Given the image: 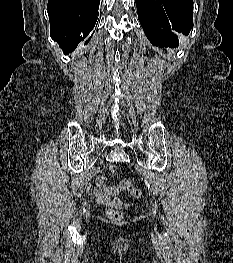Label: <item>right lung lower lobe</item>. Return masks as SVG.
<instances>
[{
	"label": "right lung lower lobe",
	"instance_id": "obj_1",
	"mask_svg": "<svg viewBox=\"0 0 233 263\" xmlns=\"http://www.w3.org/2000/svg\"><path fill=\"white\" fill-rule=\"evenodd\" d=\"M100 0H49L50 36L64 54L75 50L94 28ZM92 36V35H91Z\"/></svg>",
	"mask_w": 233,
	"mask_h": 263
}]
</instances>
